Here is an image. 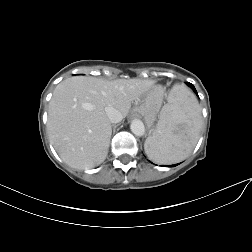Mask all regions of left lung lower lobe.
<instances>
[{
	"label": "left lung lower lobe",
	"instance_id": "left-lung-lower-lobe-1",
	"mask_svg": "<svg viewBox=\"0 0 252 252\" xmlns=\"http://www.w3.org/2000/svg\"><path fill=\"white\" fill-rule=\"evenodd\" d=\"M187 85L190 86L193 89V91L197 94V91L195 87L193 86V84L187 82ZM171 166H176V165H171Z\"/></svg>",
	"mask_w": 252,
	"mask_h": 252
}]
</instances>
